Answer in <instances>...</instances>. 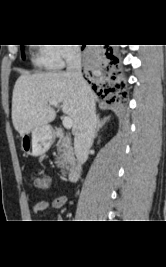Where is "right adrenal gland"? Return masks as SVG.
Returning <instances> with one entry per match:
<instances>
[{
    "label": "right adrenal gland",
    "mask_w": 166,
    "mask_h": 267,
    "mask_svg": "<svg viewBox=\"0 0 166 267\" xmlns=\"http://www.w3.org/2000/svg\"><path fill=\"white\" fill-rule=\"evenodd\" d=\"M110 120V116L104 117L100 119V115L98 114L96 117V132L95 136H97L98 131L104 126V124Z\"/></svg>",
    "instance_id": "right-adrenal-gland-1"
}]
</instances>
